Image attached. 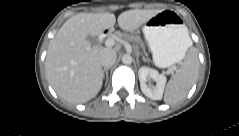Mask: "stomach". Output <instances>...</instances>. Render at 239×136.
<instances>
[{"mask_svg":"<svg viewBox=\"0 0 239 136\" xmlns=\"http://www.w3.org/2000/svg\"><path fill=\"white\" fill-rule=\"evenodd\" d=\"M143 33L153 61L160 68L180 62L190 47L186 25L177 13L170 10L160 11L145 22Z\"/></svg>","mask_w":239,"mask_h":136,"instance_id":"stomach-1","label":"stomach"}]
</instances>
